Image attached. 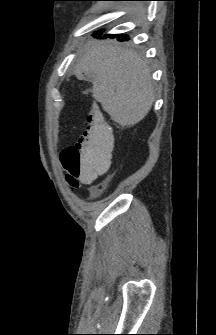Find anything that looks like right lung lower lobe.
<instances>
[{
	"label": "right lung lower lobe",
	"mask_w": 216,
	"mask_h": 335,
	"mask_svg": "<svg viewBox=\"0 0 216 335\" xmlns=\"http://www.w3.org/2000/svg\"><path fill=\"white\" fill-rule=\"evenodd\" d=\"M98 35L97 33L94 34V36ZM110 38H117L119 41H126L128 40V36L127 35H124V34H116V35H106Z\"/></svg>",
	"instance_id": "obj_1"
}]
</instances>
